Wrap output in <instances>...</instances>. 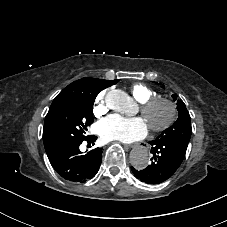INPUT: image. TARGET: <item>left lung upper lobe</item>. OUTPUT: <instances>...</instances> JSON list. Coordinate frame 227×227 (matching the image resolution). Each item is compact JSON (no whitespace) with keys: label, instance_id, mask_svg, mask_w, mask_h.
Segmentation results:
<instances>
[{"label":"left lung upper lobe","instance_id":"obj_1","mask_svg":"<svg viewBox=\"0 0 227 227\" xmlns=\"http://www.w3.org/2000/svg\"><path fill=\"white\" fill-rule=\"evenodd\" d=\"M172 97L176 100L177 95H172ZM177 109L179 113L177 121L165 129L157 139L175 140L188 144L192 134L191 118L183 101H177Z\"/></svg>","mask_w":227,"mask_h":227}]
</instances>
